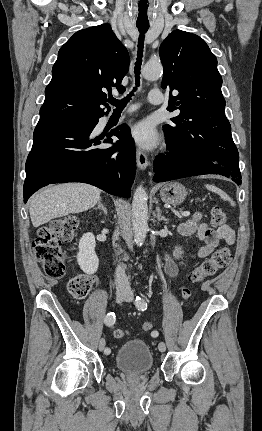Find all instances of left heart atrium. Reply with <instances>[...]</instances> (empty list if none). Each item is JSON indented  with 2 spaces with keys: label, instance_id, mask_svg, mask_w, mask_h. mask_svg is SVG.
Listing matches in <instances>:
<instances>
[{
  "label": "left heart atrium",
  "instance_id": "obj_1",
  "mask_svg": "<svg viewBox=\"0 0 262 431\" xmlns=\"http://www.w3.org/2000/svg\"><path fill=\"white\" fill-rule=\"evenodd\" d=\"M131 135L145 149L153 148L159 141L158 133L153 124L148 120H143L136 124L132 129Z\"/></svg>",
  "mask_w": 262,
  "mask_h": 431
}]
</instances>
